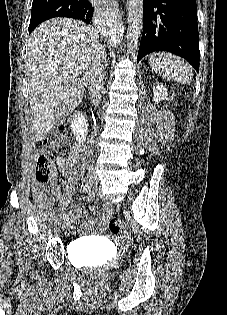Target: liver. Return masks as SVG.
I'll return each mask as SVG.
<instances>
[{
	"instance_id": "liver-1",
	"label": "liver",
	"mask_w": 227,
	"mask_h": 315,
	"mask_svg": "<svg viewBox=\"0 0 227 315\" xmlns=\"http://www.w3.org/2000/svg\"><path fill=\"white\" fill-rule=\"evenodd\" d=\"M99 50L97 30L81 21L51 19L32 32L26 78L36 141L81 103ZM100 60L104 65L103 55Z\"/></svg>"
}]
</instances>
